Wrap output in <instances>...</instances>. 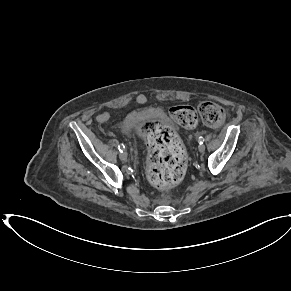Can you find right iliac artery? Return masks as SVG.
I'll return each mask as SVG.
<instances>
[{
  "label": "right iliac artery",
  "instance_id": "82829eb1",
  "mask_svg": "<svg viewBox=\"0 0 291 291\" xmlns=\"http://www.w3.org/2000/svg\"><path fill=\"white\" fill-rule=\"evenodd\" d=\"M118 149H119L120 152H123L124 149H125V146L123 144L122 145H119L118 146Z\"/></svg>",
  "mask_w": 291,
  "mask_h": 291
}]
</instances>
